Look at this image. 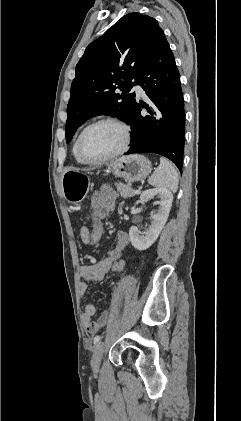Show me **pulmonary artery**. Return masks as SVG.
<instances>
[{"mask_svg": "<svg viewBox=\"0 0 241 421\" xmlns=\"http://www.w3.org/2000/svg\"><path fill=\"white\" fill-rule=\"evenodd\" d=\"M133 90L136 92V94L138 96L144 95V90L142 89V87L139 84H135L134 87H133Z\"/></svg>", "mask_w": 241, "mask_h": 421, "instance_id": "pulmonary-artery-1", "label": "pulmonary artery"}]
</instances>
